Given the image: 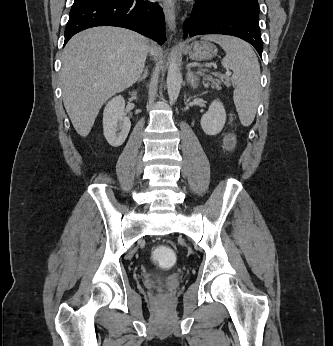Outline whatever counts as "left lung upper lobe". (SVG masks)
I'll use <instances>...</instances> for the list:
<instances>
[{
  "label": "left lung upper lobe",
  "mask_w": 333,
  "mask_h": 346,
  "mask_svg": "<svg viewBox=\"0 0 333 346\" xmlns=\"http://www.w3.org/2000/svg\"><path fill=\"white\" fill-rule=\"evenodd\" d=\"M259 21V4L257 0H211Z\"/></svg>",
  "instance_id": "left-lung-upper-lobe-1"
}]
</instances>
